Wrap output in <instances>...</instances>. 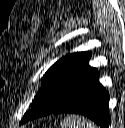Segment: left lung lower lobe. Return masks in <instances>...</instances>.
I'll return each instance as SVG.
<instances>
[{"mask_svg": "<svg viewBox=\"0 0 125 128\" xmlns=\"http://www.w3.org/2000/svg\"><path fill=\"white\" fill-rule=\"evenodd\" d=\"M109 98V93L99 82L97 69L93 68L81 78L65 105L53 113L81 114L101 128H109Z\"/></svg>", "mask_w": 125, "mask_h": 128, "instance_id": "1", "label": "left lung lower lobe"}]
</instances>
